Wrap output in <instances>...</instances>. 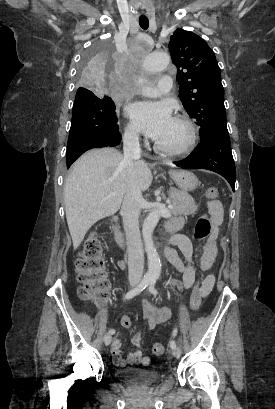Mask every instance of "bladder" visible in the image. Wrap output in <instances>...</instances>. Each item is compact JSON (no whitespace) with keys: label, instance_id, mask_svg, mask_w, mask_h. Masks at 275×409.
<instances>
[{"label":"bladder","instance_id":"obj_1","mask_svg":"<svg viewBox=\"0 0 275 409\" xmlns=\"http://www.w3.org/2000/svg\"><path fill=\"white\" fill-rule=\"evenodd\" d=\"M118 382H134L139 386H153L161 379V375L149 368H119L117 371Z\"/></svg>","mask_w":275,"mask_h":409}]
</instances>
